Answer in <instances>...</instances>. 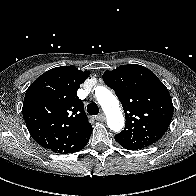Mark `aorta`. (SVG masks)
I'll use <instances>...</instances> for the list:
<instances>
[{
	"label": "aorta",
	"mask_w": 196,
	"mask_h": 196,
	"mask_svg": "<svg viewBox=\"0 0 196 196\" xmlns=\"http://www.w3.org/2000/svg\"><path fill=\"white\" fill-rule=\"evenodd\" d=\"M95 95L106 114L108 127L115 132L120 131L124 126V117L116 96L102 86L96 88Z\"/></svg>",
	"instance_id": "1"
}]
</instances>
